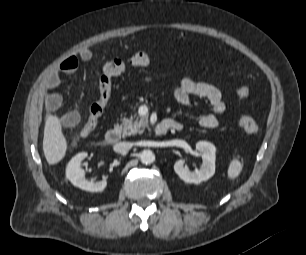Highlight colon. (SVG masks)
<instances>
[{
	"mask_svg": "<svg viewBox=\"0 0 306 255\" xmlns=\"http://www.w3.org/2000/svg\"><path fill=\"white\" fill-rule=\"evenodd\" d=\"M149 61L150 58L147 52L137 51L127 60L113 58L103 63L98 80L99 96L89 109L88 119L81 130V136H88L96 128L111 98L112 78L123 74L130 67L146 66ZM236 124L250 135H255L260 130L255 120L249 116H240L237 118Z\"/></svg>",
	"mask_w": 306,
	"mask_h": 255,
	"instance_id": "obj_1",
	"label": "colon"
}]
</instances>
